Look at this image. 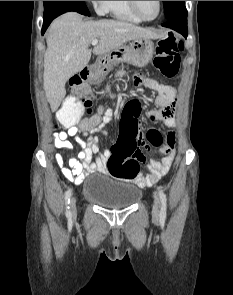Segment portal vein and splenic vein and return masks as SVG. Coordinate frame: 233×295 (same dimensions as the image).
I'll use <instances>...</instances> for the list:
<instances>
[{
	"mask_svg": "<svg viewBox=\"0 0 233 295\" xmlns=\"http://www.w3.org/2000/svg\"><path fill=\"white\" fill-rule=\"evenodd\" d=\"M91 44H92L93 46L97 45V44H98V40H97V39L92 40Z\"/></svg>",
	"mask_w": 233,
	"mask_h": 295,
	"instance_id": "obj_1",
	"label": "portal vein and splenic vein"
}]
</instances>
